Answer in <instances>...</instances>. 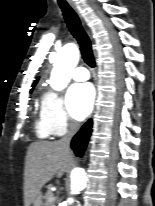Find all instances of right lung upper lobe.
Instances as JSON below:
<instances>
[{
    "instance_id": "obj_1",
    "label": "right lung upper lobe",
    "mask_w": 155,
    "mask_h": 206,
    "mask_svg": "<svg viewBox=\"0 0 155 206\" xmlns=\"http://www.w3.org/2000/svg\"><path fill=\"white\" fill-rule=\"evenodd\" d=\"M37 81H38V79L34 82V84H33V86H32V87H34V86H35V84L37 83Z\"/></svg>"
}]
</instances>
